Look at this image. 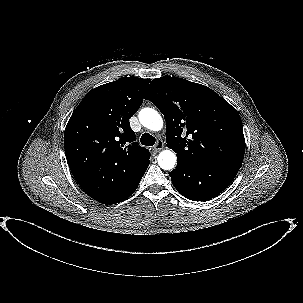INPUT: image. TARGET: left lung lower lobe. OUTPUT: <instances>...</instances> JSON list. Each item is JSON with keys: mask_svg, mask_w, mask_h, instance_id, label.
Returning <instances> with one entry per match:
<instances>
[{"mask_svg": "<svg viewBox=\"0 0 303 303\" xmlns=\"http://www.w3.org/2000/svg\"><path fill=\"white\" fill-rule=\"evenodd\" d=\"M240 167L225 163H189L178 159L169 175L175 188L193 201H207L219 195L233 181Z\"/></svg>", "mask_w": 303, "mask_h": 303, "instance_id": "1", "label": "left lung lower lobe"}]
</instances>
